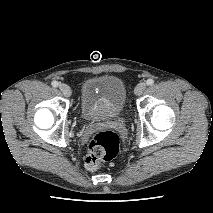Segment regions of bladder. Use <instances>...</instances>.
<instances>
[{
    "label": "bladder",
    "mask_w": 213,
    "mask_h": 213,
    "mask_svg": "<svg viewBox=\"0 0 213 213\" xmlns=\"http://www.w3.org/2000/svg\"><path fill=\"white\" fill-rule=\"evenodd\" d=\"M126 102L124 82L110 75L85 80L80 89V112L88 122H100L121 115Z\"/></svg>",
    "instance_id": "bladder-1"
}]
</instances>
